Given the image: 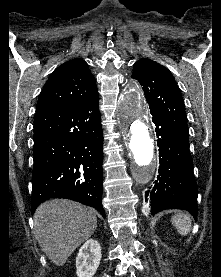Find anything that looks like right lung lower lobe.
<instances>
[{
	"mask_svg": "<svg viewBox=\"0 0 221 277\" xmlns=\"http://www.w3.org/2000/svg\"><path fill=\"white\" fill-rule=\"evenodd\" d=\"M99 97L79 105L36 111L32 214L49 198L102 206L103 133Z\"/></svg>",
	"mask_w": 221,
	"mask_h": 277,
	"instance_id": "1",
	"label": "right lung lower lobe"
}]
</instances>
